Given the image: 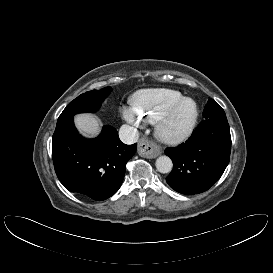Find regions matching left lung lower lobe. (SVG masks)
<instances>
[{"mask_svg":"<svg viewBox=\"0 0 273 273\" xmlns=\"http://www.w3.org/2000/svg\"><path fill=\"white\" fill-rule=\"evenodd\" d=\"M230 150L227 120H204L185 143L165 150L173 161V170L166 178L168 185L187 195L208 190L226 169Z\"/></svg>","mask_w":273,"mask_h":273,"instance_id":"1","label":"left lung lower lobe"}]
</instances>
